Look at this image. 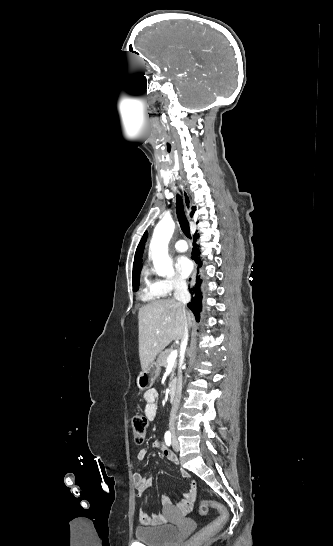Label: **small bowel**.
<instances>
[{"mask_svg": "<svg viewBox=\"0 0 333 546\" xmlns=\"http://www.w3.org/2000/svg\"><path fill=\"white\" fill-rule=\"evenodd\" d=\"M145 405V415L149 420H154L157 416V399L158 391L156 389L147 390L144 395ZM154 446L162 451L163 457L171 464H177L176 456L167 450L164 444L161 441H156ZM147 455L146 449H140L137 452V460L143 461ZM184 477L188 476L186 471H182ZM133 482L137 492L138 497H142L144 493L149 489L152 484V478L149 476H144L140 473L133 474ZM196 499V486L192 485L185 491L182 495V498L174 505L170 498L166 495L161 496V504L163 507V512L159 514L149 515L143 511L139 513V519L141 524L145 526H158L165 524L167 521V515L177 510L182 515H188L193 511L194 502Z\"/></svg>", "mask_w": 333, "mask_h": 546, "instance_id": "small-bowel-1", "label": "small bowel"}]
</instances>
